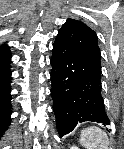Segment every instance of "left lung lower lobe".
<instances>
[{
  "mask_svg": "<svg viewBox=\"0 0 124 149\" xmlns=\"http://www.w3.org/2000/svg\"><path fill=\"white\" fill-rule=\"evenodd\" d=\"M51 57V95L60 137L79 123L110 124L101 95V68L56 36Z\"/></svg>",
  "mask_w": 124,
  "mask_h": 149,
  "instance_id": "obj_1",
  "label": "left lung lower lobe"
}]
</instances>
